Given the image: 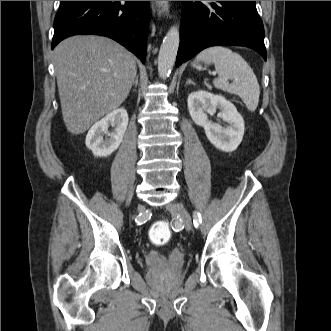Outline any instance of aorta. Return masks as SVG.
I'll list each match as a JSON object with an SVG mask.
<instances>
[{"label": "aorta", "instance_id": "762f6f07", "mask_svg": "<svg viewBox=\"0 0 331 331\" xmlns=\"http://www.w3.org/2000/svg\"><path fill=\"white\" fill-rule=\"evenodd\" d=\"M180 36L177 26H172L163 39L158 55V73L162 79H166L175 64L179 48Z\"/></svg>", "mask_w": 331, "mask_h": 331}]
</instances>
